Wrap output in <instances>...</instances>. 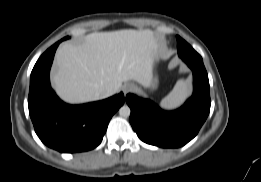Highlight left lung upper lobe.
Wrapping results in <instances>:
<instances>
[{
    "mask_svg": "<svg viewBox=\"0 0 261 182\" xmlns=\"http://www.w3.org/2000/svg\"><path fill=\"white\" fill-rule=\"evenodd\" d=\"M177 49L180 57H201L185 40L177 36Z\"/></svg>",
    "mask_w": 261,
    "mask_h": 182,
    "instance_id": "5c2ea615",
    "label": "left lung upper lobe"
}]
</instances>
